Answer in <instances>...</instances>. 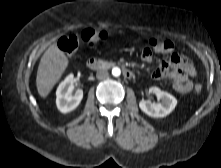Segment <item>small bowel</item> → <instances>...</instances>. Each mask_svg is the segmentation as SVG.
Segmentation results:
<instances>
[{
	"mask_svg": "<svg viewBox=\"0 0 221 168\" xmlns=\"http://www.w3.org/2000/svg\"><path fill=\"white\" fill-rule=\"evenodd\" d=\"M170 44V49L166 52L171 53L174 45L171 41H164ZM152 47H146L141 54V58L144 62L150 63L153 59ZM194 68L191 62L184 56L173 53L168 56L167 62H162L157 69L152 73L154 78L160 79L168 76L173 82V88L175 91L181 94L191 91L193 84L188 78V74H193Z\"/></svg>",
	"mask_w": 221,
	"mask_h": 168,
	"instance_id": "1",
	"label": "small bowel"
}]
</instances>
